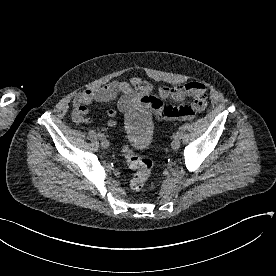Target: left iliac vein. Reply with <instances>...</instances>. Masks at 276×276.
I'll use <instances>...</instances> for the list:
<instances>
[{"label": "left iliac vein", "instance_id": "4c4485c4", "mask_svg": "<svg viewBox=\"0 0 276 276\" xmlns=\"http://www.w3.org/2000/svg\"><path fill=\"white\" fill-rule=\"evenodd\" d=\"M171 146L174 150H177L180 148V139L174 138V140L171 143Z\"/></svg>", "mask_w": 276, "mask_h": 276}]
</instances>
